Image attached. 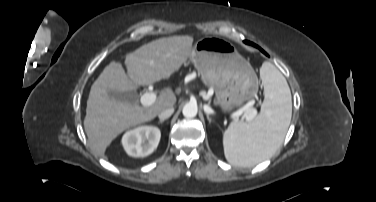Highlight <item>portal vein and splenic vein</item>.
I'll return each mask as SVG.
<instances>
[{
	"label": "portal vein and splenic vein",
	"mask_w": 376,
	"mask_h": 202,
	"mask_svg": "<svg viewBox=\"0 0 376 202\" xmlns=\"http://www.w3.org/2000/svg\"><path fill=\"white\" fill-rule=\"evenodd\" d=\"M156 101V95L154 93H150V92H146L144 93L142 96H141V103L144 105V106H150L151 104H153L154 102ZM206 112H210V111H207L205 109ZM242 112H246L247 111V108L243 107L241 109ZM240 115V110L239 111H236L232 114L233 117H237ZM246 119L247 120H250L251 119V115L248 114L246 115Z\"/></svg>",
	"instance_id": "portal-vein-and-splenic-vein-1"
}]
</instances>
